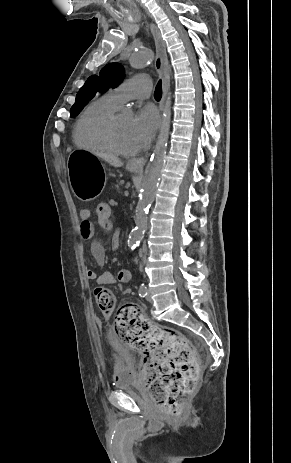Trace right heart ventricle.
I'll return each mask as SVG.
<instances>
[{"mask_svg": "<svg viewBox=\"0 0 291 463\" xmlns=\"http://www.w3.org/2000/svg\"><path fill=\"white\" fill-rule=\"evenodd\" d=\"M119 108L111 95L105 94L102 97L89 103L79 114L73 127L74 143L81 148L91 151L106 150L92 135L95 124Z\"/></svg>", "mask_w": 291, "mask_h": 463, "instance_id": "e07e8e85", "label": "right heart ventricle"}]
</instances>
